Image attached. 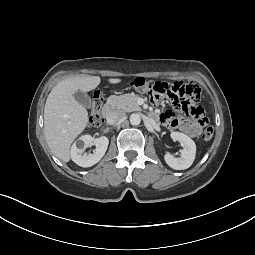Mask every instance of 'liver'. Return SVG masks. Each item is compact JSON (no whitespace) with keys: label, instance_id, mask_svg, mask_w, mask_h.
<instances>
[{"label":"liver","instance_id":"liver-1","mask_svg":"<svg viewBox=\"0 0 255 255\" xmlns=\"http://www.w3.org/2000/svg\"><path fill=\"white\" fill-rule=\"evenodd\" d=\"M99 76H73L60 81L50 92L44 109V135L52 153L64 162L71 158L70 146L88 124V112L74 94L88 92L100 84ZM111 84L119 78L108 80Z\"/></svg>","mask_w":255,"mask_h":255}]
</instances>
